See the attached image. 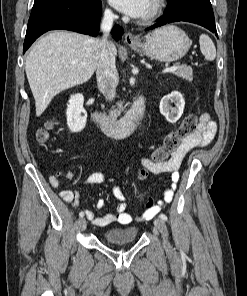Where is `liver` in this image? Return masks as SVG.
I'll list each match as a JSON object with an SVG mask.
<instances>
[{
	"label": "liver",
	"instance_id": "liver-1",
	"mask_svg": "<svg viewBox=\"0 0 247 296\" xmlns=\"http://www.w3.org/2000/svg\"><path fill=\"white\" fill-rule=\"evenodd\" d=\"M99 51L98 39L68 31H52L36 42L25 62L36 116H40L61 91L92 77ZM113 53L117 54L114 44Z\"/></svg>",
	"mask_w": 247,
	"mask_h": 296
}]
</instances>
